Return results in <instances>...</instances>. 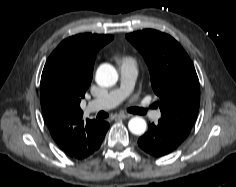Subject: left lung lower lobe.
Returning <instances> with one entry per match:
<instances>
[{"mask_svg":"<svg viewBox=\"0 0 236 187\" xmlns=\"http://www.w3.org/2000/svg\"><path fill=\"white\" fill-rule=\"evenodd\" d=\"M188 135L170 124L158 121L152 123L149 130L139 138L141 149L152 156H163L175 150Z\"/></svg>","mask_w":236,"mask_h":187,"instance_id":"1","label":"left lung lower lobe"}]
</instances>
